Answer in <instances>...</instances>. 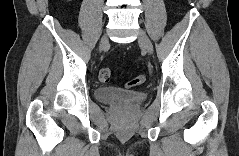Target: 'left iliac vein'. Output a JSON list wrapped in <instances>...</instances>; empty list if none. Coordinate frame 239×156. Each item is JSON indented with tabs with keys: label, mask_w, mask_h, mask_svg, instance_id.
I'll return each mask as SVG.
<instances>
[{
	"label": "left iliac vein",
	"mask_w": 239,
	"mask_h": 156,
	"mask_svg": "<svg viewBox=\"0 0 239 156\" xmlns=\"http://www.w3.org/2000/svg\"><path fill=\"white\" fill-rule=\"evenodd\" d=\"M138 42L143 46V48L149 53L152 54L153 53V45L150 41V39L148 38V36L145 34V32L143 30L139 31L138 34Z\"/></svg>",
	"instance_id": "1"
}]
</instances>
